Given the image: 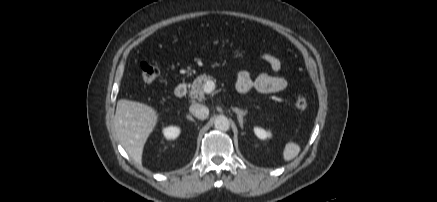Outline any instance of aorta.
Listing matches in <instances>:
<instances>
[{
  "instance_id": "obj_1",
  "label": "aorta",
  "mask_w": 437,
  "mask_h": 202,
  "mask_svg": "<svg viewBox=\"0 0 437 202\" xmlns=\"http://www.w3.org/2000/svg\"><path fill=\"white\" fill-rule=\"evenodd\" d=\"M214 127L219 131H227L230 128V123L227 117L217 116L214 121Z\"/></svg>"
}]
</instances>
